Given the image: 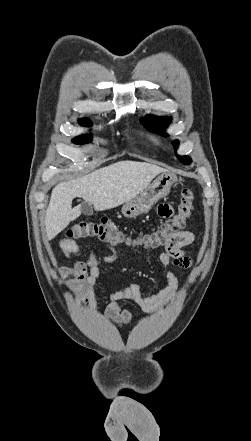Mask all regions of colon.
I'll return each mask as SVG.
<instances>
[{
    "label": "colon",
    "instance_id": "1",
    "mask_svg": "<svg viewBox=\"0 0 251 441\" xmlns=\"http://www.w3.org/2000/svg\"><path fill=\"white\" fill-rule=\"evenodd\" d=\"M194 209V194L191 189H184L181 193L177 213L168 218L156 231L145 235L141 244L145 247H158L190 219ZM70 239L96 237L104 242L120 245L128 242L126 235L112 221L102 218L98 221H80L73 225L67 233Z\"/></svg>",
    "mask_w": 251,
    "mask_h": 441
}]
</instances>
